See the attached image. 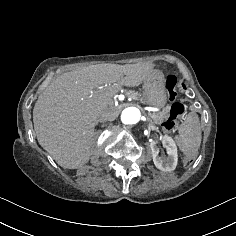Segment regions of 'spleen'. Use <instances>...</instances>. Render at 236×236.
I'll return each instance as SVG.
<instances>
[{"label":"spleen","mask_w":236,"mask_h":236,"mask_svg":"<svg viewBox=\"0 0 236 236\" xmlns=\"http://www.w3.org/2000/svg\"><path fill=\"white\" fill-rule=\"evenodd\" d=\"M177 128L178 134L174 136V141L179 150L188 157L194 156L201 142V128L198 117L195 113H190Z\"/></svg>","instance_id":"spleen-1"}]
</instances>
